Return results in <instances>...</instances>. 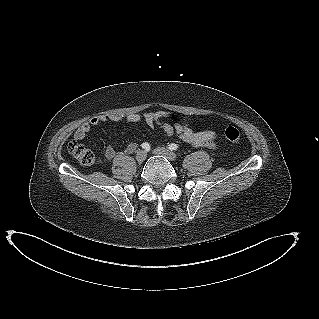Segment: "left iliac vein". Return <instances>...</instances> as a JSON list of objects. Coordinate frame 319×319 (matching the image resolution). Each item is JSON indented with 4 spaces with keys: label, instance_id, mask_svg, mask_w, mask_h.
<instances>
[{
    "label": "left iliac vein",
    "instance_id": "1",
    "mask_svg": "<svg viewBox=\"0 0 319 319\" xmlns=\"http://www.w3.org/2000/svg\"><path fill=\"white\" fill-rule=\"evenodd\" d=\"M153 153L157 154V155H162L170 161H174L177 158V155L174 152H172L164 147H158V148L154 149Z\"/></svg>",
    "mask_w": 319,
    "mask_h": 319
}]
</instances>
